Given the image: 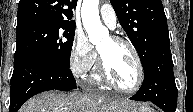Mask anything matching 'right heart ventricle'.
<instances>
[{"instance_id":"e07e8e85","label":"right heart ventricle","mask_w":193,"mask_h":112,"mask_svg":"<svg viewBox=\"0 0 193 112\" xmlns=\"http://www.w3.org/2000/svg\"><path fill=\"white\" fill-rule=\"evenodd\" d=\"M93 79H94L96 82H100V81H101L98 73H94V74H93Z\"/></svg>"}]
</instances>
